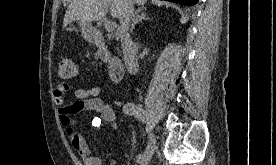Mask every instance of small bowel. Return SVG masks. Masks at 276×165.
<instances>
[{"mask_svg":"<svg viewBox=\"0 0 276 165\" xmlns=\"http://www.w3.org/2000/svg\"><path fill=\"white\" fill-rule=\"evenodd\" d=\"M101 88L98 85L89 88L72 89L66 83L58 84L54 89V100L58 107L59 120L72 147L79 154L84 165H102L99 156L93 154L84 137L77 130L76 113L81 110L96 113L92 126L99 127L103 122L110 123L116 129L115 112L113 108L100 98ZM71 94L75 100L67 101ZM112 162L111 165H115ZM125 165V164H122Z\"/></svg>","mask_w":276,"mask_h":165,"instance_id":"c3829d8e","label":"small bowel"}]
</instances>
